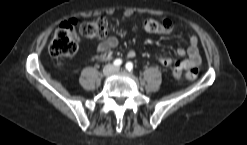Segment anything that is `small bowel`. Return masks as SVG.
Returning <instances> with one entry per match:
<instances>
[{"label": "small bowel", "instance_id": "1", "mask_svg": "<svg viewBox=\"0 0 247 145\" xmlns=\"http://www.w3.org/2000/svg\"><path fill=\"white\" fill-rule=\"evenodd\" d=\"M118 43L119 41L117 37L110 36L98 44L97 51L101 55H107L111 49L117 47ZM177 55L180 57L187 56V58L182 61L183 68H185L187 71L191 69H197V67L201 63V56H200L199 49H198V38L195 35H191L189 38L188 47L178 48ZM127 56L132 58L135 56V52L133 50H130ZM165 61L171 62V59L168 57H163L161 59L162 65L168 66L165 64Z\"/></svg>", "mask_w": 247, "mask_h": 145}]
</instances>
